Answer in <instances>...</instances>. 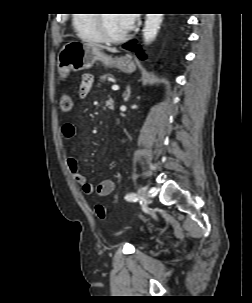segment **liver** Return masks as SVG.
Masks as SVG:
<instances>
[{"label": "liver", "instance_id": "liver-1", "mask_svg": "<svg viewBox=\"0 0 252 303\" xmlns=\"http://www.w3.org/2000/svg\"><path fill=\"white\" fill-rule=\"evenodd\" d=\"M93 45H95V46L98 47V48H105V49H107L108 51L113 52V53L116 52V49H115V48H107V47H103V46H100V45H97V44H93Z\"/></svg>", "mask_w": 252, "mask_h": 303}]
</instances>
